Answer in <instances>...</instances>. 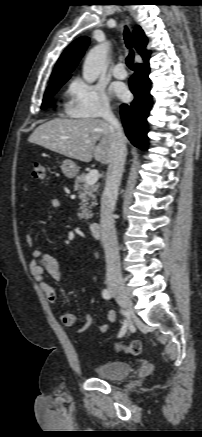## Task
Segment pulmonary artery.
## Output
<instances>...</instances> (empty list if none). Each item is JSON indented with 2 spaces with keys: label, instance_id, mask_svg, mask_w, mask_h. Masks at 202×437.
<instances>
[{
  "label": "pulmonary artery",
  "instance_id": "e3ab8cb5",
  "mask_svg": "<svg viewBox=\"0 0 202 437\" xmlns=\"http://www.w3.org/2000/svg\"><path fill=\"white\" fill-rule=\"evenodd\" d=\"M113 76L117 79H125L127 77V72L123 63H118L113 69Z\"/></svg>",
  "mask_w": 202,
  "mask_h": 437
}]
</instances>
